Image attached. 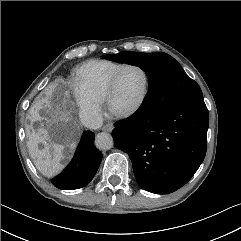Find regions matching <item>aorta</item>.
<instances>
[{
    "label": "aorta",
    "mask_w": 241,
    "mask_h": 241,
    "mask_svg": "<svg viewBox=\"0 0 241 241\" xmlns=\"http://www.w3.org/2000/svg\"><path fill=\"white\" fill-rule=\"evenodd\" d=\"M95 144L101 150H109L114 145L113 137L109 133L101 132L96 136Z\"/></svg>",
    "instance_id": "1"
}]
</instances>
